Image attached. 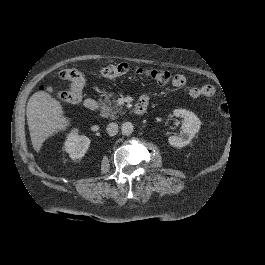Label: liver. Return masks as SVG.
Masks as SVG:
<instances>
[{"instance_id":"obj_1","label":"liver","mask_w":265,"mask_h":265,"mask_svg":"<svg viewBox=\"0 0 265 265\" xmlns=\"http://www.w3.org/2000/svg\"><path fill=\"white\" fill-rule=\"evenodd\" d=\"M32 147L38 154L45 141L58 133H65L73 120L65 115L62 103L48 91L36 92L27 108Z\"/></svg>"}]
</instances>
